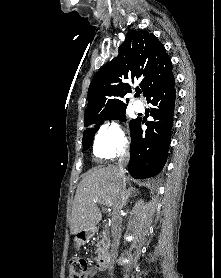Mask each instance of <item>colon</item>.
<instances>
[{"label": "colon", "mask_w": 221, "mask_h": 278, "mask_svg": "<svg viewBox=\"0 0 221 278\" xmlns=\"http://www.w3.org/2000/svg\"><path fill=\"white\" fill-rule=\"evenodd\" d=\"M89 263L83 258H73L68 263L70 278H87Z\"/></svg>", "instance_id": "obj_1"}]
</instances>
